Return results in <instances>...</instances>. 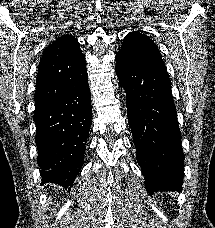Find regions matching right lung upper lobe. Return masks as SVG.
Instances as JSON below:
<instances>
[{
  "instance_id": "right-lung-upper-lobe-1",
  "label": "right lung upper lobe",
  "mask_w": 215,
  "mask_h": 228,
  "mask_svg": "<svg viewBox=\"0 0 215 228\" xmlns=\"http://www.w3.org/2000/svg\"><path fill=\"white\" fill-rule=\"evenodd\" d=\"M87 74L78 40L65 34L43 52L36 78L35 107L40 108L65 93L70 82Z\"/></svg>"
}]
</instances>
